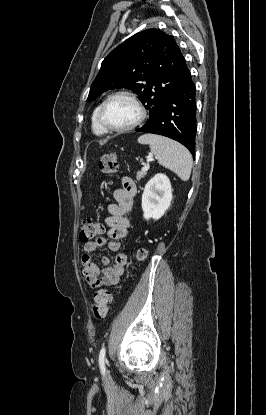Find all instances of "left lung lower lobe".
<instances>
[{"mask_svg": "<svg viewBox=\"0 0 266 415\" xmlns=\"http://www.w3.org/2000/svg\"><path fill=\"white\" fill-rule=\"evenodd\" d=\"M196 88L187 68L184 79L158 116L138 132L159 134L183 144L194 156L196 137Z\"/></svg>", "mask_w": 266, "mask_h": 415, "instance_id": "0a47b994", "label": "left lung lower lobe"}]
</instances>
